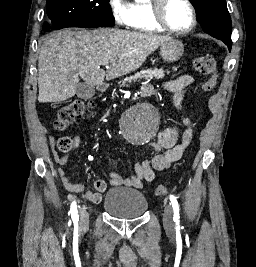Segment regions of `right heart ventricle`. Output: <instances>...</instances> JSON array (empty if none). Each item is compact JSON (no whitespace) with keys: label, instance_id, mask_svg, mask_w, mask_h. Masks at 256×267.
Instances as JSON below:
<instances>
[{"label":"right heart ventricle","instance_id":"obj_1","mask_svg":"<svg viewBox=\"0 0 256 267\" xmlns=\"http://www.w3.org/2000/svg\"><path fill=\"white\" fill-rule=\"evenodd\" d=\"M134 6L138 10L140 19L150 28L148 33H143V36H159L166 33L153 24L152 13L155 7V0H136Z\"/></svg>","mask_w":256,"mask_h":267}]
</instances>
